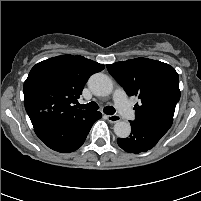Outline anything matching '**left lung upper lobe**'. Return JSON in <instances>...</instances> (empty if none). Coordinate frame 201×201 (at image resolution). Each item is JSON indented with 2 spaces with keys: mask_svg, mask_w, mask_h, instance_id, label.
<instances>
[{
  "mask_svg": "<svg viewBox=\"0 0 201 201\" xmlns=\"http://www.w3.org/2000/svg\"><path fill=\"white\" fill-rule=\"evenodd\" d=\"M107 69L130 96H137L136 119L141 124H155L170 128L180 99L176 70L163 62L136 58L108 64Z\"/></svg>",
  "mask_w": 201,
  "mask_h": 201,
  "instance_id": "left-lung-upper-lobe-1",
  "label": "left lung upper lobe"
}]
</instances>
